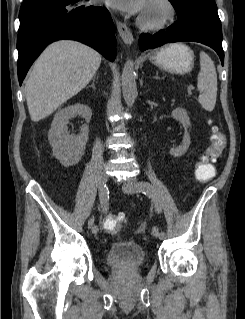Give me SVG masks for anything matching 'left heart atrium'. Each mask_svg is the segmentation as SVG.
Segmentation results:
<instances>
[{
    "instance_id": "39dd6f15",
    "label": "left heart atrium",
    "mask_w": 245,
    "mask_h": 319,
    "mask_svg": "<svg viewBox=\"0 0 245 319\" xmlns=\"http://www.w3.org/2000/svg\"><path fill=\"white\" fill-rule=\"evenodd\" d=\"M106 3L117 10L130 14H140L146 7V0H105Z\"/></svg>"
}]
</instances>
